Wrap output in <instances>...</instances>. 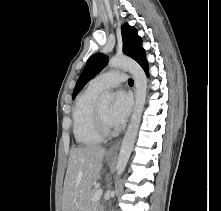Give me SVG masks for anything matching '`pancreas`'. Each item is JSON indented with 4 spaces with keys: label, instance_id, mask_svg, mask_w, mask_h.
Masks as SVG:
<instances>
[{
    "label": "pancreas",
    "instance_id": "cf45deb5",
    "mask_svg": "<svg viewBox=\"0 0 221 211\" xmlns=\"http://www.w3.org/2000/svg\"><path fill=\"white\" fill-rule=\"evenodd\" d=\"M96 192H97L96 189H92L88 193V195L84 201V210L83 211H96V208L98 207V202L93 201V196Z\"/></svg>",
    "mask_w": 221,
    "mask_h": 211
}]
</instances>
